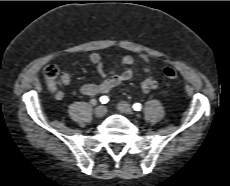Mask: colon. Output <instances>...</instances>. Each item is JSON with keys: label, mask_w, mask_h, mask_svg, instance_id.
I'll return each mask as SVG.
<instances>
[{"label": "colon", "mask_w": 230, "mask_h": 186, "mask_svg": "<svg viewBox=\"0 0 230 186\" xmlns=\"http://www.w3.org/2000/svg\"><path fill=\"white\" fill-rule=\"evenodd\" d=\"M164 75L166 78L170 80H175L178 77V74L176 70L170 67H166L163 71ZM58 75V70L55 66L53 65H48L44 69V80L47 85V87L51 90L54 91L56 89V79Z\"/></svg>", "instance_id": "5ec220e1"}]
</instances>
